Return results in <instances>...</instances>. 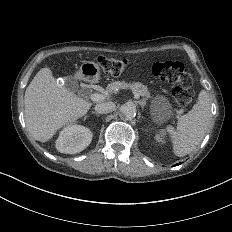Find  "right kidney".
I'll return each mask as SVG.
<instances>
[{
    "label": "right kidney",
    "mask_w": 232,
    "mask_h": 232,
    "mask_svg": "<svg viewBox=\"0 0 232 232\" xmlns=\"http://www.w3.org/2000/svg\"><path fill=\"white\" fill-rule=\"evenodd\" d=\"M90 129L82 125L66 126L56 140V149L64 154H75L83 151L92 140Z\"/></svg>",
    "instance_id": "right-kidney-1"
}]
</instances>
